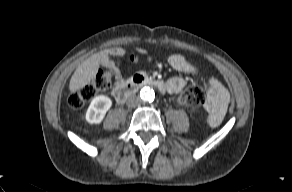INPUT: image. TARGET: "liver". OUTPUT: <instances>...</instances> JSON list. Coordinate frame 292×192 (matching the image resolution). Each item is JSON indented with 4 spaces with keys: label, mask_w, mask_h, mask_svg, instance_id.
Returning a JSON list of instances; mask_svg holds the SVG:
<instances>
[{
    "label": "liver",
    "mask_w": 292,
    "mask_h": 192,
    "mask_svg": "<svg viewBox=\"0 0 292 192\" xmlns=\"http://www.w3.org/2000/svg\"><path fill=\"white\" fill-rule=\"evenodd\" d=\"M100 60L99 54H93L77 67L69 83V90L71 92H76L95 79L100 66Z\"/></svg>",
    "instance_id": "6515ba94"
}]
</instances>
